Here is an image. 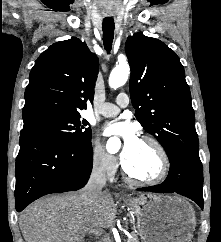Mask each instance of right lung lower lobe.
<instances>
[{"label":"right lung lower lobe","instance_id":"1","mask_svg":"<svg viewBox=\"0 0 221 242\" xmlns=\"http://www.w3.org/2000/svg\"><path fill=\"white\" fill-rule=\"evenodd\" d=\"M92 166L91 140L72 143L49 134L21 135L16 158L17 211L43 195L84 187Z\"/></svg>","mask_w":221,"mask_h":242}]
</instances>
